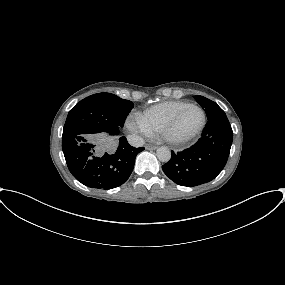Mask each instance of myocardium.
<instances>
[{
    "label": "myocardium",
    "instance_id": "f54148a6",
    "mask_svg": "<svg viewBox=\"0 0 285 285\" xmlns=\"http://www.w3.org/2000/svg\"><path fill=\"white\" fill-rule=\"evenodd\" d=\"M189 109H197L201 115H202V121L200 126L197 128L196 131H194L193 133L186 135V136H176L174 134V130L176 129V127L178 126L180 120L182 119L183 115L185 114V112ZM206 124V115L204 110L197 106V105H193L190 104L186 107H184L183 109H181L162 129L161 134L163 136V138L165 139L166 142L173 144V145H181V144H185L187 142H189L190 140L194 139L196 136H198L202 130L204 129Z\"/></svg>",
    "mask_w": 285,
    "mask_h": 285
}]
</instances>
